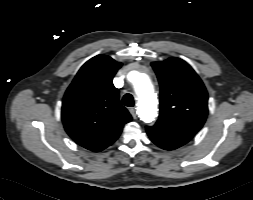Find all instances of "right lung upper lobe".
<instances>
[{
	"label": "right lung upper lobe",
	"mask_w": 253,
	"mask_h": 200,
	"mask_svg": "<svg viewBox=\"0 0 253 200\" xmlns=\"http://www.w3.org/2000/svg\"><path fill=\"white\" fill-rule=\"evenodd\" d=\"M106 55L87 61L68 87L62 105V121L68 135L80 146L99 152L119 137L132 117L119 103L113 77L121 67Z\"/></svg>",
	"instance_id": "1"
}]
</instances>
